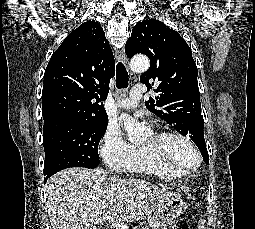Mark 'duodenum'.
Instances as JSON below:
<instances>
[{"label": "duodenum", "mask_w": 255, "mask_h": 229, "mask_svg": "<svg viewBox=\"0 0 255 229\" xmlns=\"http://www.w3.org/2000/svg\"><path fill=\"white\" fill-rule=\"evenodd\" d=\"M107 229H126V225L123 223H112L107 226Z\"/></svg>", "instance_id": "1"}]
</instances>
